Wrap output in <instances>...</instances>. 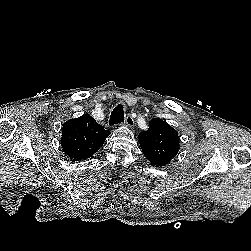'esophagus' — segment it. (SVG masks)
<instances>
[{"mask_svg": "<svg viewBox=\"0 0 251 251\" xmlns=\"http://www.w3.org/2000/svg\"><path fill=\"white\" fill-rule=\"evenodd\" d=\"M125 125L129 128H133L135 126V122L131 115H128L125 119Z\"/></svg>", "mask_w": 251, "mask_h": 251, "instance_id": "34e87169", "label": "esophagus"}]
</instances>
